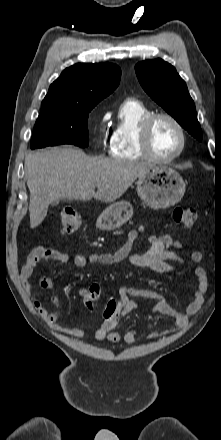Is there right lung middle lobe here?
I'll list each match as a JSON object with an SVG mask.
<instances>
[{
	"label": "right lung middle lobe",
	"instance_id": "1",
	"mask_svg": "<svg viewBox=\"0 0 221 440\" xmlns=\"http://www.w3.org/2000/svg\"><path fill=\"white\" fill-rule=\"evenodd\" d=\"M96 105L42 102L41 112L34 126L31 149L60 144L87 147V120Z\"/></svg>",
	"mask_w": 221,
	"mask_h": 440
}]
</instances>
